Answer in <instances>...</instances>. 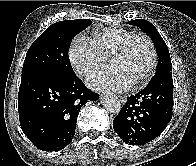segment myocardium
Instances as JSON below:
<instances>
[{
	"instance_id": "obj_1",
	"label": "myocardium",
	"mask_w": 196,
	"mask_h": 166,
	"mask_svg": "<svg viewBox=\"0 0 196 166\" xmlns=\"http://www.w3.org/2000/svg\"><path fill=\"white\" fill-rule=\"evenodd\" d=\"M136 38H143L148 43L150 51H151V63H150V66L147 72L141 78H139L137 81L133 83L134 87H139L147 83L152 78V76L154 75L156 66H157V61H158V54H157L156 46L149 35L143 32H134L133 34L129 35L122 42L119 48L110 56V62L115 58L123 56L128 51V48L131 42Z\"/></svg>"
}]
</instances>
